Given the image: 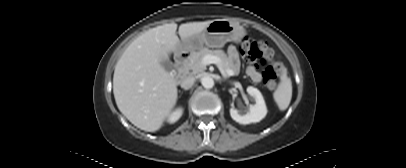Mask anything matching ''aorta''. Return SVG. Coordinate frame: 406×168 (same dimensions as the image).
Wrapping results in <instances>:
<instances>
[{"label": "aorta", "instance_id": "aorta-1", "mask_svg": "<svg viewBox=\"0 0 406 168\" xmlns=\"http://www.w3.org/2000/svg\"><path fill=\"white\" fill-rule=\"evenodd\" d=\"M201 84L204 88L210 89L214 86V80L209 76H205L201 79Z\"/></svg>", "mask_w": 406, "mask_h": 168}]
</instances>
